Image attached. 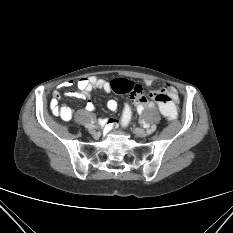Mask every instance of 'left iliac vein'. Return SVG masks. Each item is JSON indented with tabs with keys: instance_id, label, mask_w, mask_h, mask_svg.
Listing matches in <instances>:
<instances>
[{
	"instance_id": "1",
	"label": "left iliac vein",
	"mask_w": 233,
	"mask_h": 233,
	"mask_svg": "<svg viewBox=\"0 0 233 233\" xmlns=\"http://www.w3.org/2000/svg\"><path fill=\"white\" fill-rule=\"evenodd\" d=\"M134 133L138 135L139 137H145L148 134V131H145L143 129L136 128L134 129Z\"/></svg>"
}]
</instances>
